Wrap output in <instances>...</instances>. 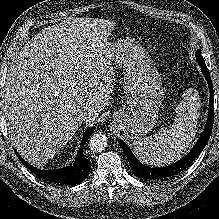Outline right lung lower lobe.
<instances>
[{
    "label": "right lung lower lobe",
    "mask_w": 219,
    "mask_h": 219,
    "mask_svg": "<svg viewBox=\"0 0 219 219\" xmlns=\"http://www.w3.org/2000/svg\"><path fill=\"white\" fill-rule=\"evenodd\" d=\"M94 130L95 127H91L85 132L81 141L79 152L75 159V163L69 167L62 169L41 170L28 164L17 152L16 155L18 156L21 163L24 164L32 173L46 181L67 185L78 184L88 176L91 168L90 161L85 158L83 154V147Z\"/></svg>",
    "instance_id": "98d812e1"
}]
</instances>
